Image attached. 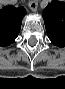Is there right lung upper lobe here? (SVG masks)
<instances>
[{
	"mask_svg": "<svg viewBox=\"0 0 65 89\" xmlns=\"http://www.w3.org/2000/svg\"><path fill=\"white\" fill-rule=\"evenodd\" d=\"M25 14L26 10L22 6H5L0 10V46L5 47L14 42Z\"/></svg>",
	"mask_w": 65,
	"mask_h": 89,
	"instance_id": "right-lung-upper-lobe-1",
	"label": "right lung upper lobe"
}]
</instances>
